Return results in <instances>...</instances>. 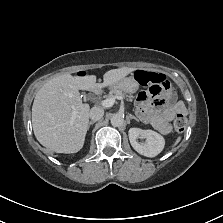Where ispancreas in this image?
<instances>
[{"mask_svg": "<svg viewBox=\"0 0 223 223\" xmlns=\"http://www.w3.org/2000/svg\"><path fill=\"white\" fill-rule=\"evenodd\" d=\"M112 91L111 92H109V94H108V98H113V97H115V96H121V97H128L127 98V100L128 101H132V99H133V96L132 95H129V96H127L126 94H124V93H120L119 92V90H116V89H111Z\"/></svg>", "mask_w": 223, "mask_h": 223, "instance_id": "1", "label": "pancreas"}]
</instances>
